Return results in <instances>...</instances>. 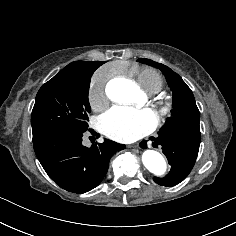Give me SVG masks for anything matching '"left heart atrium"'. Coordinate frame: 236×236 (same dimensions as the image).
I'll list each match as a JSON object with an SVG mask.
<instances>
[{
    "mask_svg": "<svg viewBox=\"0 0 236 236\" xmlns=\"http://www.w3.org/2000/svg\"><path fill=\"white\" fill-rule=\"evenodd\" d=\"M156 121L151 109L114 106L102 115L101 130L113 140L131 142L150 132Z\"/></svg>",
    "mask_w": 236,
    "mask_h": 236,
    "instance_id": "39dd6f15",
    "label": "left heart atrium"
}]
</instances>
